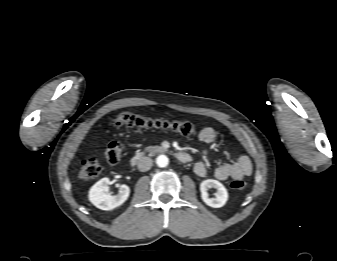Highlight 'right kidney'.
<instances>
[{"label": "right kidney", "mask_w": 337, "mask_h": 261, "mask_svg": "<svg viewBox=\"0 0 337 261\" xmlns=\"http://www.w3.org/2000/svg\"><path fill=\"white\" fill-rule=\"evenodd\" d=\"M110 184L109 178H102L89 191L90 202L101 210H112L123 204L129 197L130 189L126 185H121L116 195L106 193Z\"/></svg>", "instance_id": "ca27d5eb"}]
</instances>
